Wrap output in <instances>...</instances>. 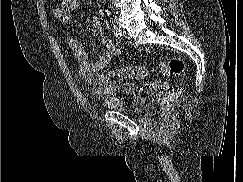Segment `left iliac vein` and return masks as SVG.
<instances>
[{"mask_svg": "<svg viewBox=\"0 0 243 182\" xmlns=\"http://www.w3.org/2000/svg\"><path fill=\"white\" fill-rule=\"evenodd\" d=\"M122 36L125 38V39H130V36L128 34V32L126 30H123L122 32Z\"/></svg>", "mask_w": 243, "mask_h": 182, "instance_id": "left-iliac-vein-1", "label": "left iliac vein"}]
</instances>
